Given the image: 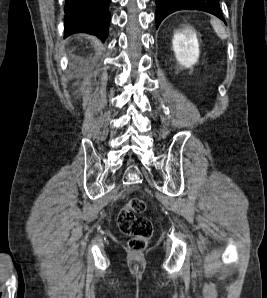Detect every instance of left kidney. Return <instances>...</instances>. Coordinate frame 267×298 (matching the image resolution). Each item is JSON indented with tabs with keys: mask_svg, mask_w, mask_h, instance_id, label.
<instances>
[{
	"mask_svg": "<svg viewBox=\"0 0 267 298\" xmlns=\"http://www.w3.org/2000/svg\"><path fill=\"white\" fill-rule=\"evenodd\" d=\"M172 49L182 67L190 68L196 64L200 51L195 31L188 26L176 31L172 39Z\"/></svg>",
	"mask_w": 267,
	"mask_h": 298,
	"instance_id": "1",
	"label": "left kidney"
}]
</instances>
